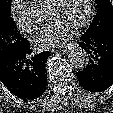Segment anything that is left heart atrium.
<instances>
[{"instance_id":"obj_1","label":"left heart atrium","mask_w":113,"mask_h":113,"mask_svg":"<svg viewBox=\"0 0 113 113\" xmlns=\"http://www.w3.org/2000/svg\"><path fill=\"white\" fill-rule=\"evenodd\" d=\"M74 33V28L61 22L54 21L48 24L36 38L39 49H52L60 46Z\"/></svg>"}]
</instances>
